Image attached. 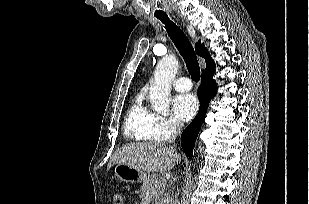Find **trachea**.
<instances>
[{"mask_svg":"<svg viewBox=\"0 0 309 204\" xmlns=\"http://www.w3.org/2000/svg\"><path fill=\"white\" fill-rule=\"evenodd\" d=\"M157 18L165 24L167 33L180 54L182 55L191 77L195 81H199L200 67L197 56L189 39L183 33V31L168 18L167 15H160L157 16Z\"/></svg>","mask_w":309,"mask_h":204,"instance_id":"1","label":"trachea"}]
</instances>
